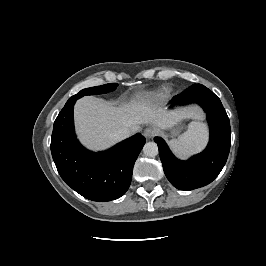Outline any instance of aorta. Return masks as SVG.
<instances>
[{"mask_svg": "<svg viewBox=\"0 0 266 266\" xmlns=\"http://www.w3.org/2000/svg\"><path fill=\"white\" fill-rule=\"evenodd\" d=\"M143 153L147 157H155L158 154V146L155 142H147L143 147Z\"/></svg>", "mask_w": 266, "mask_h": 266, "instance_id": "1", "label": "aorta"}]
</instances>
